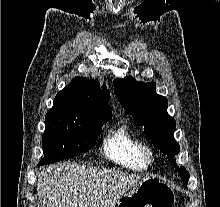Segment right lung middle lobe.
I'll use <instances>...</instances> for the list:
<instances>
[{"label":"right lung middle lobe","instance_id":"right-lung-middle-lobe-1","mask_svg":"<svg viewBox=\"0 0 220 207\" xmlns=\"http://www.w3.org/2000/svg\"><path fill=\"white\" fill-rule=\"evenodd\" d=\"M72 101L55 99L45 118L44 158L38 166L77 156L91 149L104 122Z\"/></svg>","mask_w":220,"mask_h":207}]
</instances>
